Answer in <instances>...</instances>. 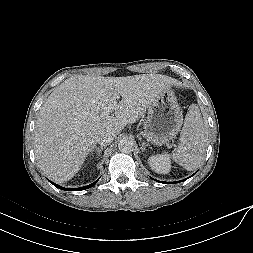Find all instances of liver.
Returning <instances> with one entry per match:
<instances>
[{"instance_id": "6515ba94", "label": "liver", "mask_w": 253, "mask_h": 253, "mask_svg": "<svg viewBox=\"0 0 253 253\" xmlns=\"http://www.w3.org/2000/svg\"><path fill=\"white\" fill-rule=\"evenodd\" d=\"M178 80L161 74L127 77L72 76L42 106L34 150L40 169L54 181L70 180L97 143L101 130L119 134L135 123ZM122 99L118 102L119 97ZM114 112L101 116L102 112Z\"/></svg>"}]
</instances>
